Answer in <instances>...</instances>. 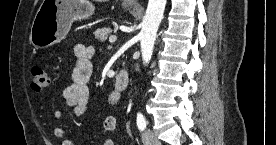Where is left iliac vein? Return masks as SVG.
<instances>
[{"instance_id":"left-iliac-vein-1","label":"left iliac vein","mask_w":276,"mask_h":145,"mask_svg":"<svg viewBox=\"0 0 276 145\" xmlns=\"http://www.w3.org/2000/svg\"><path fill=\"white\" fill-rule=\"evenodd\" d=\"M142 141L145 145H159L160 141L150 129H146L142 135Z\"/></svg>"}]
</instances>
